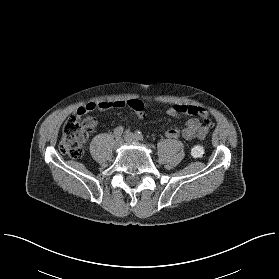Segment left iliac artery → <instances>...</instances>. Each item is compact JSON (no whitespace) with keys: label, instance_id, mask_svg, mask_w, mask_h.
<instances>
[{"label":"left iliac artery","instance_id":"obj_1","mask_svg":"<svg viewBox=\"0 0 279 279\" xmlns=\"http://www.w3.org/2000/svg\"><path fill=\"white\" fill-rule=\"evenodd\" d=\"M135 136L141 141H144V142L146 141L143 134L140 131H136Z\"/></svg>","mask_w":279,"mask_h":279}]
</instances>
